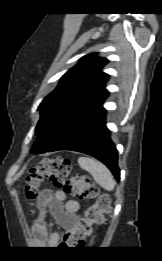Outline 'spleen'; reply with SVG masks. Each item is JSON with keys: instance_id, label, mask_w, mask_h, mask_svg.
I'll use <instances>...</instances> for the list:
<instances>
[{"instance_id": "obj_1", "label": "spleen", "mask_w": 162, "mask_h": 261, "mask_svg": "<svg viewBox=\"0 0 162 261\" xmlns=\"http://www.w3.org/2000/svg\"><path fill=\"white\" fill-rule=\"evenodd\" d=\"M78 164L82 169L89 172L102 188L108 191L114 190L116 182L104 164L88 157H79Z\"/></svg>"}]
</instances>
